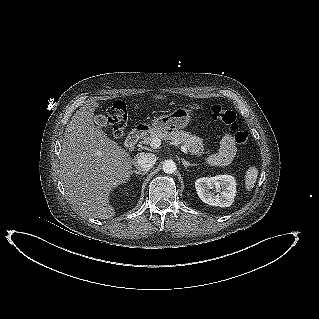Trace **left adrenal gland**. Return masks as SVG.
Wrapping results in <instances>:
<instances>
[{"instance_id":"1","label":"left adrenal gland","mask_w":319,"mask_h":319,"mask_svg":"<svg viewBox=\"0 0 319 319\" xmlns=\"http://www.w3.org/2000/svg\"><path fill=\"white\" fill-rule=\"evenodd\" d=\"M182 164L184 165L185 169H187L189 166H198L197 163H190L188 161H185L184 159H182Z\"/></svg>"}]
</instances>
